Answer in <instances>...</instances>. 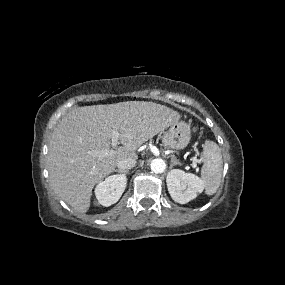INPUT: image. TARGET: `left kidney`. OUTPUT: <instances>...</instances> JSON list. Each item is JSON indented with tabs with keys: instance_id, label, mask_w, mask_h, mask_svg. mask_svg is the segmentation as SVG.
I'll use <instances>...</instances> for the list:
<instances>
[{
	"instance_id": "5707ae66",
	"label": "left kidney",
	"mask_w": 285,
	"mask_h": 285,
	"mask_svg": "<svg viewBox=\"0 0 285 285\" xmlns=\"http://www.w3.org/2000/svg\"><path fill=\"white\" fill-rule=\"evenodd\" d=\"M166 182L170 196L180 204L193 200L204 189V183L199 177L180 169L169 171Z\"/></svg>"
}]
</instances>
